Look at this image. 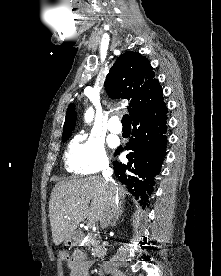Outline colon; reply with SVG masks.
<instances>
[{"label": "colon", "mask_w": 221, "mask_h": 276, "mask_svg": "<svg viewBox=\"0 0 221 276\" xmlns=\"http://www.w3.org/2000/svg\"><path fill=\"white\" fill-rule=\"evenodd\" d=\"M58 258L62 262H68L70 260V255L66 250H61L58 253Z\"/></svg>", "instance_id": "colon-1"}]
</instances>
